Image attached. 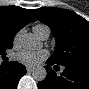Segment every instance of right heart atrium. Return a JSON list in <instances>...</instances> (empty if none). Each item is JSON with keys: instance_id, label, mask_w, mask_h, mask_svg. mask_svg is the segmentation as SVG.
<instances>
[{"instance_id": "d8ad5b80", "label": "right heart atrium", "mask_w": 89, "mask_h": 89, "mask_svg": "<svg viewBox=\"0 0 89 89\" xmlns=\"http://www.w3.org/2000/svg\"><path fill=\"white\" fill-rule=\"evenodd\" d=\"M17 40H18V36L16 37L15 41H17Z\"/></svg>"}]
</instances>
